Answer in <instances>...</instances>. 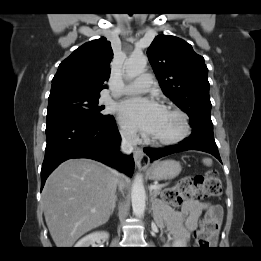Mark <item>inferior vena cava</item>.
<instances>
[{"mask_svg": "<svg viewBox=\"0 0 261 261\" xmlns=\"http://www.w3.org/2000/svg\"><path fill=\"white\" fill-rule=\"evenodd\" d=\"M122 141H121V151L125 154H130L133 152L134 147L138 142V137L135 132L125 131L121 133ZM117 176L120 175L116 173ZM121 187V184H119Z\"/></svg>", "mask_w": 261, "mask_h": 261, "instance_id": "obj_1", "label": "inferior vena cava"}]
</instances>
